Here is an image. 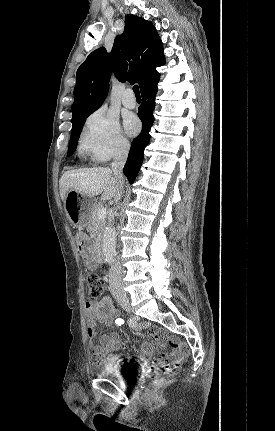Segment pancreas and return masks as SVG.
Here are the masks:
<instances>
[{
    "label": "pancreas",
    "mask_w": 275,
    "mask_h": 431,
    "mask_svg": "<svg viewBox=\"0 0 275 431\" xmlns=\"http://www.w3.org/2000/svg\"><path fill=\"white\" fill-rule=\"evenodd\" d=\"M101 203L95 205L90 211L89 218L87 221V228L91 232V237L93 238L94 246L98 247L102 240V234L106 224L105 219H99L97 217V211L101 208Z\"/></svg>",
    "instance_id": "pancreas-1"
}]
</instances>
